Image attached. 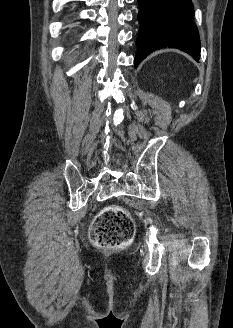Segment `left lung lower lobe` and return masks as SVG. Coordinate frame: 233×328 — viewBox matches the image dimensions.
Instances as JSON below:
<instances>
[{
    "instance_id": "obj_1",
    "label": "left lung lower lobe",
    "mask_w": 233,
    "mask_h": 328,
    "mask_svg": "<svg viewBox=\"0 0 233 328\" xmlns=\"http://www.w3.org/2000/svg\"><path fill=\"white\" fill-rule=\"evenodd\" d=\"M140 30L135 68L150 53L162 48H177L200 58V38L192 22L191 0H138Z\"/></svg>"
}]
</instances>
